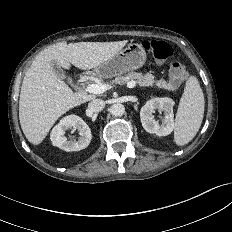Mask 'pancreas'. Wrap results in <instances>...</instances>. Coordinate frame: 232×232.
<instances>
[{
	"label": "pancreas",
	"mask_w": 232,
	"mask_h": 232,
	"mask_svg": "<svg viewBox=\"0 0 232 232\" xmlns=\"http://www.w3.org/2000/svg\"><path fill=\"white\" fill-rule=\"evenodd\" d=\"M129 80H135L140 86H155L157 88H163L169 91H174V87L167 83L166 80H157L156 77L151 73L142 75L141 73L130 72L126 76H117L114 80H112V84L121 85Z\"/></svg>",
	"instance_id": "1"
}]
</instances>
